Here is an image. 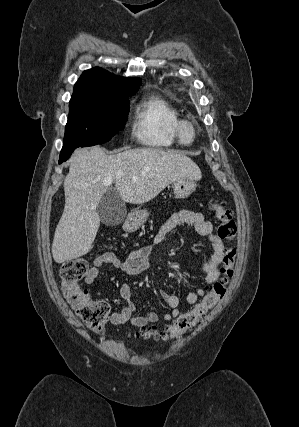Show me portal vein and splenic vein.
<instances>
[{"label": "portal vein and splenic vein", "mask_w": 299, "mask_h": 427, "mask_svg": "<svg viewBox=\"0 0 299 427\" xmlns=\"http://www.w3.org/2000/svg\"><path fill=\"white\" fill-rule=\"evenodd\" d=\"M132 178H133V180L137 179V177H135V176H133ZM103 184L106 185V186H110L112 184V179H106V180H104Z\"/></svg>", "instance_id": "18ae733b"}]
</instances>
